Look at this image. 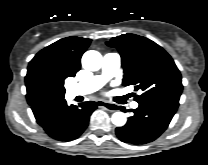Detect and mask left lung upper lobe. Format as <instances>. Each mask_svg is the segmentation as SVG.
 <instances>
[{
    "mask_svg": "<svg viewBox=\"0 0 208 165\" xmlns=\"http://www.w3.org/2000/svg\"><path fill=\"white\" fill-rule=\"evenodd\" d=\"M107 45L117 48L124 69L123 85H134L141 104L155 100L179 101L183 85L180 71L170 55L155 42L135 34L113 37Z\"/></svg>",
    "mask_w": 208,
    "mask_h": 165,
    "instance_id": "left-lung-upper-lobe-1",
    "label": "left lung upper lobe"
}]
</instances>
